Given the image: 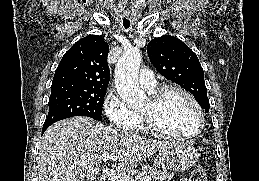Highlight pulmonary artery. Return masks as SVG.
Here are the masks:
<instances>
[{
	"instance_id": "e3ab8cb5",
	"label": "pulmonary artery",
	"mask_w": 259,
	"mask_h": 181,
	"mask_svg": "<svg viewBox=\"0 0 259 181\" xmlns=\"http://www.w3.org/2000/svg\"><path fill=\"white\" fill-rule=\"evenodd\" d=\"M139 82L140 85L146 90L155 88L157 84L154 73L149 69H143L141 71Z\"/></svg>"
}]
</instances>
